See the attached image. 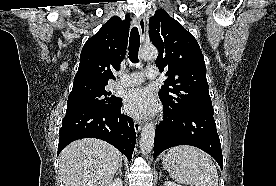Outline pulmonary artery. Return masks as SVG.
<instances>
[{
    "instance_id": "1",
    "label": "pulmonary artery",
    "mask_w": 276,
    "mask_h": 186,
    "mask_svg": "<svg viewBox=\"0 0 276 186\" xmlns=\"http://www.w3.org/2000/svg\"><path fill=\"white\" fill-rule=\"evenodd\" d=\"M159 76L156 66H147L144 72H136L129 75H122L115 83L116 87H129L141 84L145 79H155Z\"/></svg>"
}]
</instances>
